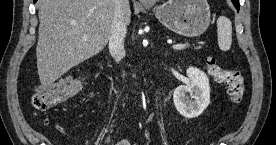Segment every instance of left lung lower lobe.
Listing matches in <instances>:
<instances>
[{
  "label": "left lung lower lobe",
  "instance_id": "0a47b994",
  "mask_svg": "<svg viewBox=\"0 0 276 145\" xmlns=\"http://www.w3.org/2000/svg\"><path fill=\"white\" fill-rule=\"evenodd\" d=\"M234 4V6L236 7L237 11H239L240 9V4H239V0H231Z\"/></svg>",
  "mask_w": 276,
  "mask_h": 145
}]
</instances>
